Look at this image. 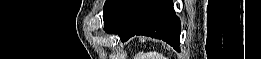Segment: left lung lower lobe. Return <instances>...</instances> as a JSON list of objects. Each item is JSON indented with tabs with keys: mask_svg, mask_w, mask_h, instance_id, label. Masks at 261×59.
<instances>
[{
	"mask_svg": "<svg viewBox=\"0 0 261 59\" xmlns=\"http://www.w3.org/2000/svg\"><path fill=\"white\" fill-rule=\"evenodd\" d=\"M104 30L123 42L134 35L162 39L179 51L180 21L172 0H120L104 18Z\"/></svg>",
	"mask_w": 261,
	"mask_h": 59,
	"instance_id": "left-lung-lower-lobe-1",
	"label": "left lung lower lobe"
}]
</instances>
